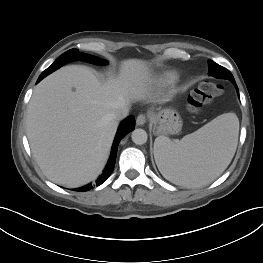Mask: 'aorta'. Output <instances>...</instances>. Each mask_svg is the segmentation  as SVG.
Masks as SVG:
<instances>
[{
    "instance_id": "aorta-1",
    "label": "aorta",
    "mask_w": 263,
    "mask_h": 263,
    "mask_svg": "<svg viewBox=\"0 0 263 263\" xmlns=\"http://www.w3.org/2000/svg\"><path fill=\"white\" fill-rule=\"evenodd\" d=\"M132 141L137 145H142L147 142L148 135L144 129L138 128L132 131Z\"/></svg>"
}]
</instances>
